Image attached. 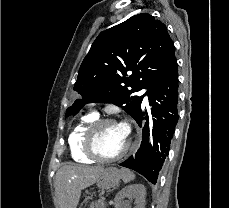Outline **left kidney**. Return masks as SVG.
<instances>
[{"mask_svg":"<svg viewBox=\"0 0 229 208\" xmlns=\"http://www.w3.org/2000/svg\"><path fill=\"white\" fill-rule=\"evenodd\" d=\"M123 198H134L136 208H145L146 190L142 184H133L123 188L115 198L116 208H126V202H122Z\"/></svg>","mask_w":229,"mask_h":208,"instance_id":"obj_1","label":"left kidney"}]
</instances>
